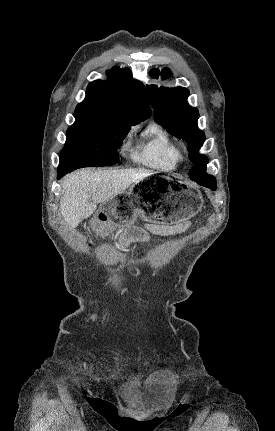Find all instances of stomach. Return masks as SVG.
Masks as SVG:
<instances>
[{
  "instance_id": "1",
  "label": "stomach",
  "mask_w": 275,
  "mask_h": 431,
  "mask_svg": "<svg viewBox=\"0 0 275 431\" xmlns=\"http://www.w3.org/2000/svg\"><path fill=\"white\" fill-rule=\"evenodd\" d=\"M203 203L201 193L181 178L152 174L103 202L90 225L99 236L131 226L138 217L151 223L175 225L196 215Z\"/></svg>"
}]
</instances>
